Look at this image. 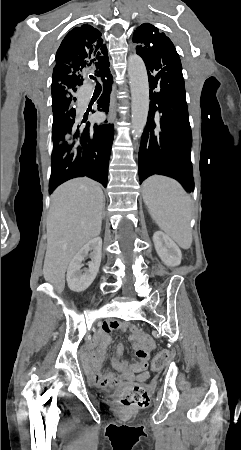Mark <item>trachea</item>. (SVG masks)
Returning a JSON list of instances; mask_svg holds the SVG:
<instances>
[{
    "label": "trachea",
    "mask_w": 241,
    "mask_h": 450,
    "mask_svg": "<svg viewBox=\"0 0 241 450\" xmlns=\"http://www.w3.org/2000/svg\"><path fill=\"white\" fill-rule=\"evenodd\" d=\"M90 78L95 79V77H93L92 75H90ZM95 81L97 80L95 79ZM97 85H99V83H97Z\"/></svg>",
    "instance_id": "obj_1"
}]
</instances>
